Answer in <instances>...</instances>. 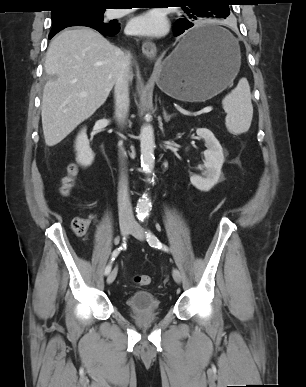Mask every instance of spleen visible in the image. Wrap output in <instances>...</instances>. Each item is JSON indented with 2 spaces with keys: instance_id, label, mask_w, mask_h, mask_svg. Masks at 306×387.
I'll use <instances>...</instances> for the list:
<instances>
[{
  "instance_id": "3e777b00",
  "label": "spleen",
  "mask_w": 306,
  "mask_h": 387,
  "mask_svg": "<svg viewBox=\"0 0 306 387\" xmlns=\"http://www.w3.org/2000/svg\"><path fill=\"white\" fill-rule=\"evenodd\" d=\"M227 113L225 125L232 134L247 132L253 117L250 86L246 78L239 80L238 85L222 101Z\"/></svg>"
}]
</instances>
